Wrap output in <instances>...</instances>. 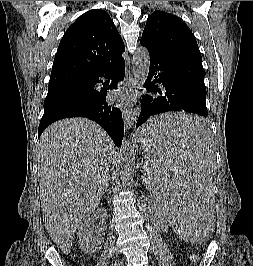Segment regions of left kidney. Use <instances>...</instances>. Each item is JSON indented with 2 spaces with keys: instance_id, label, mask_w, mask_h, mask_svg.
<instances>
[{
  "instance_id": "5707ae66",
  "label": "left kidney",
  "mask_w": 253,
  "mask_h": 266,
  "mask_svg": "<svg viewBox=\"0 0 253 266\" xmlns=\"http://www.w3.org/2000/svg\"><path fill=\"white\" fill-rule=\"evenodd\" d=\"M170 224L173 226V222H170Z\"/></svg>"
}]
</instances>
